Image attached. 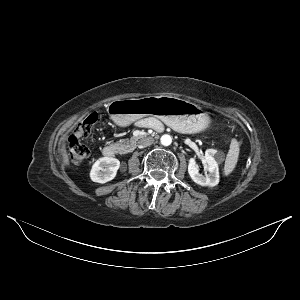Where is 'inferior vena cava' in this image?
<instances>
[{
    "mask_svg": "<svg viewBox=\"0 0 300 300\" xmlns=\"http://www.w3.org/2000/svg\"><path fill=\"white\" fill-rule=\"evenodd\" d=\"M154 142V139L151 138V137H147V138H142L138 141V147L139 148H144V147H147V146H150L152 145Z\"/></svg>",
    "mask_w": 300,
    "mask_h": 300,
    "instance_id": "602c4592",
    "label": "inferior vena cava"
}]
</instances>
